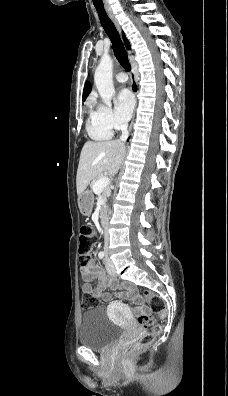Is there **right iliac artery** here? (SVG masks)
<instances>
[{"label": "right iliac artery", "instance_id": "right-iliac-artery-1", "mask_svg": "<svg viewBox=\"0 0 228 396\" xmlns=\"http://www.w3.org/2000/svg\"><path fill=\"white\" fill-rule=\"evenodd\" d=\"M98 257H99L100 259H103V258H104V252H99Z\"/></svg>", "mask_w": 228, "mask_h": 396}]
</instances>
